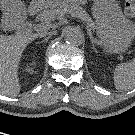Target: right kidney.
<instances>
[{"label":"right kidney","mask_w":135,"mask_h":135,"mask_svg":"<svg viewBox=\"0 0 135 135\" xmlns=\"http://www.w3.org/2000/svg\"><path fill=\"white\" fill-rule=\"evenodd\" d=\"M28 72H31L32 71V69L29 67V68H27L26 69Z\"/></svg>","instance_id":"ca27d5eb"}]
</instances>
